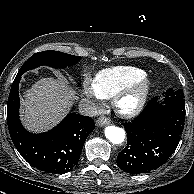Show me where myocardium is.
<instances>
[{"mask_svg": "<svg viewBox=\"0 0 194 194\" xmlns=\"http://www.w3.org/2000/svg\"><path fill=\"white\" fill-rule=\"evenodd\" d=\"M152 90L153 82L151 79L147 75L142 76L141 78L122 87L113 95V109L123 118H134L145 108ZM133 95L137 96L136 102L130 108H125L123 106V102Z\"/></svg>", "mask_w": 194, "mask_h": 194, "instance_id": "1", "label": "myocardium"}]
</instances>
